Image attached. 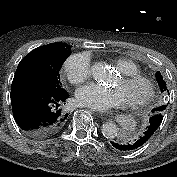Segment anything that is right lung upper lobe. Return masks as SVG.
<instances>
[{"label":"right lung upper lobe","mask_w":177,"mask_h":177,"mask_svg":"<svg viewBox=\"0 0 177 177\" xmlns=\"http://www.w3.org/2000/svg\"><path fill=\"white\" fill-rule=\"evenodd\" d=\"M70 48L71 46L65 45L61 42L51 43L32 50L27 56L24 57L23 61L35 59L40 62L50 63L63 54L70 52Z\"/></svg>","instance_id":"1"}]
</instances>
